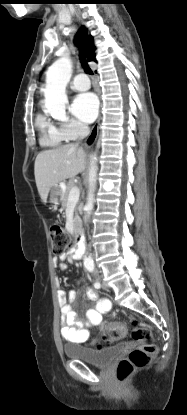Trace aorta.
Returning a JSON list of instances; mask_svg holds the SVG:
<instances>
[{
    "label": "aorta",
    "instance_id": "1",
    "mask_svg": "<svg viewBox=\"0 0 187 415\" xmlns=\"http://www.w3.org/2000/svg\"><path fill=\"white\" fill-rule=\"evenodd\" d=\"M72 74V62L68 57L56 60L46 72V86L44 89L45 108L53 118L63 120L66 118V105L68 98L66 86ZM96 155L91 157L89 169L90 191L85 205V219H89L94 206V191L96 186ZM85 263L93 264L92 258L86 257Z\"/></svg>",
    "mask_w": 187,
    "mask_h": 415
}]
</instances>
